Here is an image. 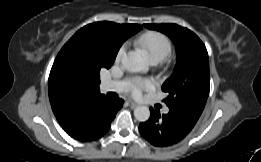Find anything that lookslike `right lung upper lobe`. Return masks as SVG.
<instances>
[{
	"label": "right lung upper lobe",
	"mask_w": 261,
	"mask_h": 162,
	"mask_svg": "<svg viewBox=\"0 0 261 162\" xmlns=\"http://www.w3.org/2000/svg\"><path fill=\"white\" fill-rule=\"evenodd\" d=\"M141 29L142 26L138 24L120 25L108 21L97 22L84 26L78 30L68 41V43L73 41L80 42L84 37L89 36V34L92 35L101 30L115 31L119 33L125 41L127 38L137 33ZM48 92L53 113L59 123H63L75 112L89 105L95 99L104 96L103 94H100L98 84H90L73 92H59L54 90L48 82Z\"/></svg>",
	"instance_id": "cb5924a9"
}]
</instances>
